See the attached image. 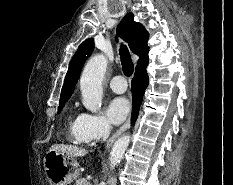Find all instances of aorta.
I'll use <instances>...</instances> for the list:
<instances>
[{"mask_svg":"<svg viewBox=\"0 0 233 185\" xmlns=\"http://www.w3.org/2000/svg\"><path fill=\"white\" fill-rule=\"evenodd\" d=\"M106 68L107 59L104 55L99 54L88 61L81 75L80 89L82 102L85 108L92 113H97L102 105V81ZM129 143V135H123L115 141L109 157L111 169L120 164Z\"/></svg>","mask_w":233,"mask_h":185,"instance_id":"1","label":"aorta"}]
</instances>
